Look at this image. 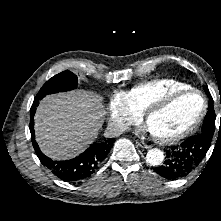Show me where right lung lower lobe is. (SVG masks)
I'll list each match as a JSON object with an SVG mask.
<instances>
[{"mask_svg":"<svg viewBox=\"0 0 221 221\" xmlns=\"http://www.w3.org/2000/svg\"><path fill=\"white\" fill-rule=\"evenodd\" d=\"M40 98H35L30 109V132L36 154L43 165H45L56 177L66 182H77L90 177L104 161L110 152L114 138L104 142L94 143L78 157L66 161H54L45 156L39 149L34 135V114L39 105Z\"/></svg>","mask_w":221,"mask_h":221,"instance_id":"1","label":"right lung lower lobe"}]
</instances>
